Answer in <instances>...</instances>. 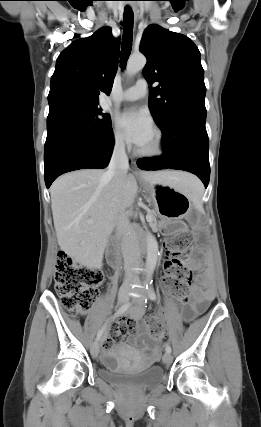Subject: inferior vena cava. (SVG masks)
<instances>
[{
	"instance_id": "1",
	"label": "inferior vena cava",
	"mask_w": 261,
	"mask_h": 427,
	"mask_svg": "<svg viewBox=\"0 0 261 427\" xmlns=\"http://www.w3.org/2000/svg\"><path fill=\"white\" fill-rule=\"evenodd\" d=\"M128 169L129 163L125 151V144L124 142H117L114 146L105 176L114 178L118 184H121ZM116 230L122 239L121 251L124 258L125 283L129 284L136 281V272L134 268L139 264L140 252L136 236L131 233L132 226L130 221L124 212H120L117 217Z\"/></svg>"
}]
</instances>
